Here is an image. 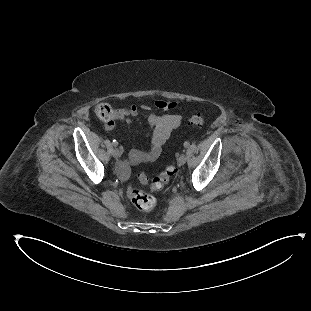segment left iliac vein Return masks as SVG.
<instances>
[{
  "mask_svg": "<svg viewBox=\"0 0 311 311\" xmlns=\"http://www.w3.org/2000/svg\"><path fill=\"white\" fill-rule=\"evenodd\" d=\"M186 163V156L185 154H181L178 158V164L180 166L184 165Z\"/></svg>",
  "mask_w": 311,
  "mask_h": 311,
  "instance_id": "left-iliac-vein-1",
  "label": "left iliac vein"
}]
</instances>
